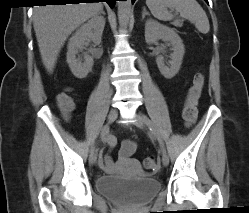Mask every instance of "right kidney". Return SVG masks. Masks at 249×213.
Masks as SVG:
<instances>
[{
  "label": "right kidney",
  "instance_id": "obj_1",
  "mask_svg": "<svg viewBox=\"0 0 249 213\" xmlns=\"http://www.w3.org/2000/svg\"><path fill=\"white\" fill-rule=\"evenodd\" d=\"M105 27V19L95 15L85 24L81 25L72 35L68 42L67 63L73 75L79 79L85 78L93 67V58L86 55L82 63L76 55L83 51L84 46L91 40L100 44L102 33Z\"/></svg>",
  "mask_w": 249,
  "mask_h": 213
}]
</instances>
